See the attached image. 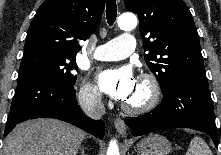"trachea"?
<instances>
[{"label":"trachea","instance_id":"obj_1","mask_svg":"<svg viewBox=\"0 0 221 155\" xmlns=\"http://www.w3.org/2000/svg\"><path fill=\"white\" fill-rule=\"evenodd\" d=\"M106 17L109 25H112L117 17L116 0H107L106 3Z\"/></svg>","mask_w":221,"mask_h":155}]
</instances>
